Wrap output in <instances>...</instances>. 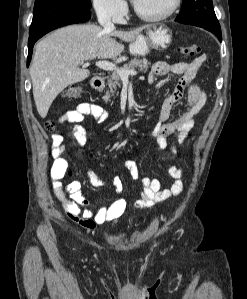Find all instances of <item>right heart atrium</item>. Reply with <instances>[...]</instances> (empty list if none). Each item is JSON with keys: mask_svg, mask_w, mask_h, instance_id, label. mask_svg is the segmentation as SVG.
I'll list each match as a JSON object with an SVG mask.
<instances>
[{"mask_svg": "<svg viewBox=\"0 0 247 299\" xmlns=\"http://www.w3.org/2000/svg\"><path fill=\"white\" fill-rule=\"evenodd\" d=\"M98 17L104 20L118 21L126 11L124 0H92Z\"/></svg>", "mask_w": 247, "mask_h": 299, "instance_id": "right-heart-atrium-1", "label": "right heart atrium"}]
</instances>
